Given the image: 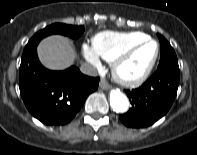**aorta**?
I'll list each match as a JSON object with an SVG mask.
<instances>
[{
    "mask_svg": "<svg viewBox=\"0 0 197 155\" xmlns=\"http://www.w3.org/2000/svg\"><path fill=\"white\" fill-rule=\"evenodd\" d=\"M109 101L113 111L115 112L123 113L128 110L129 101L127 97L119 90H112L110 92Z\"/></svg>",
    "mask_w": 197,
    "mask_h": 155,
    "instance_id": "762f6f07",
    "label": "aorta"
}]
</instances>
